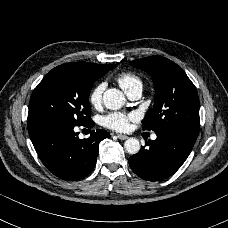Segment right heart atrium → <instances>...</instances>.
I'll return each instance as SVG.
<instances>
[{"instance_id":"right-heart-atrium-1","label":"right heart atrium","mask_w":228,"mask_h":228,"mask_svg":"<svg viewBox=\"0 0 228 228\" xmlns=\"http://www.w3.org/2000/svg\"><path fill=\"white\" fill-rule=\"evenodd\" d=\"M106 88V82L100 81L96 83L89 92L88 99L92 106L97 107L102 102L103 92Z\"/></svg>"}]
</instances>
